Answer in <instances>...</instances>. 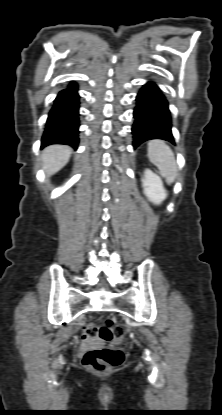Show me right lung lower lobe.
I'll return each mask as SVG.
<instances>
[{
  "label": "right lung lower lobe",
  "instance_id": "98d812e1",
  "mask_svg": "<svg viewBox=\"0 0 222 415\" xmlns=\"http://www.w3.org/2000/svg\"><path fill=\"white\" fill-rule=\"evenodd\" d=\"M76 82L60 91L49 112L42 137V147L50 144H67L77 148L79 128V95Z\"/></svg>",
  "mask_w": 222,
  "mask_h": 415
}]
</instances>
